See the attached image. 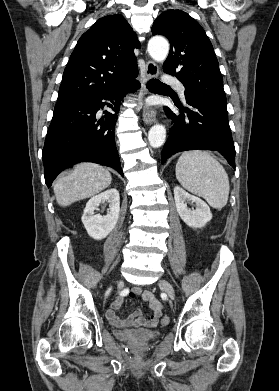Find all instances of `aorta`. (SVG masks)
Segmentation results:
<instances>
[{"mask_svg": "<svg viewBox=\"0 0 279 391\" xmlns=\"http://www.w3.org/2000/svg\"><path fill=\"white\" fill-rule=\"evenodd\" d=\"M148 52L153 60L164 62L169 53V43L163 37H153L148 43ZM166 139V129L163 125L156 124L151 127L148 133V141L151 147L162 146Z\"/></svg>", "mask_w": 279, "mask_h": 391, "instance_id": "762f6f07", "label": "aorta"}]
</instances>
